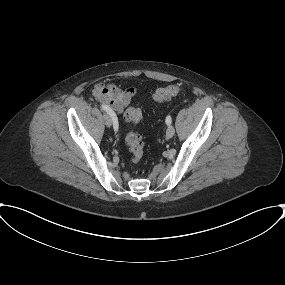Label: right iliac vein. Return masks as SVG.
<instances>
[{
	"instance_id": "obj_1",
	"label": "right iliac vein",
	"mask_w": 285,
	"mask_h": 285,
	"mask_svg": "<svg viewBox=\"0 0 285 285\" xmlns=\"http://www.w3.org/2000/svg\"><path fill=\"white\" fill-rule=\"evenodd\" d=\"M103 118H104L105 125L107 127H111L112 126V117L108 113H105Z\"/></svg>"
}]
</instances>
